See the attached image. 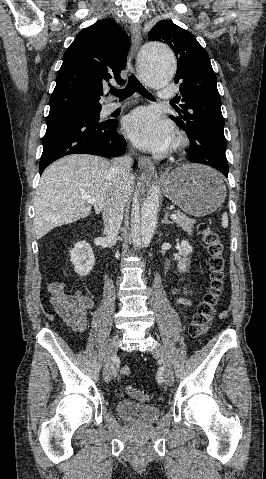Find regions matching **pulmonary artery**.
Masks as SVG:
<instances>
[{
	"label": "pulmonary artery",
	"instance_id": "1",
	"mask_svg": "<svg viewBox=\"0 0 266 479\" xmlns=\"http://www.w3.org/2000/svg\"><path fill=\"white\" fill-rule=\"evenodd\" d=\"M175 89L171 86H164L159 91V97L162 99H170L174 96ZM126 104H119V103H110L106 106L108 112L115 111L118 108L124 107Z\"/></svg>",
	"mask_w": 266,
	"mask_h": 479
}]
</instances>
